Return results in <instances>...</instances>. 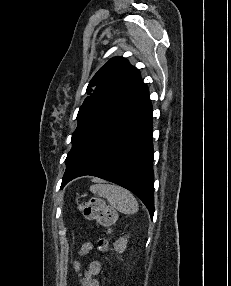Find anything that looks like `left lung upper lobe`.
<instances>
[{"instance_id": "5c2ea615", "label": "left lung upper lobe", "mask_w": 231, "mask_h": 286, "mask_svg": "<svg viewBox=\"0 0 231 286\" xmlns=\"http://www.w3.org/2000/svg\"><path fill=\"white\" fill-rule=\"evenodd\" d=\"M142 85L140 72L125 58L114 57L101 67L90 81L87 87L89 96L79 109L71 151L91 128Z\"/></svg>"}]
</instances>
